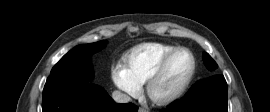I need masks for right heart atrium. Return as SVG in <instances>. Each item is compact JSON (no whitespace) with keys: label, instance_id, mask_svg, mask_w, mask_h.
Returning a JSON list of instances; mask_svg holds the SVG:
<instances>
[{"label":"right heart atrium","instance_id":"1","mask_svg":"<svg viewBox=\"0 0 270 112\" xmlns=\"http://www.w3.org/2000/svg\"><path fill=\"white\" fill-rule=\"evenodd\" d=\"M111 77L113 83L129 96L135 97L141 91V86L136 83L122 65H116L112 69Z\"/></svg>","mask_w":270,"mask_h":112}]
</instances>
